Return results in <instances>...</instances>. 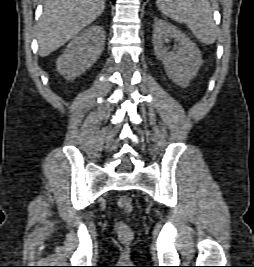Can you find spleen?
Instances as JSON below:
<instances>
[{
    "label": "spleen",
    "mask_w": 254,
    "mask_h": 267,
    "mask_svg": "<svg viewBox=\"0 0 254 267\" xmlns=\"http://www.w3.org/2000/svg\"><path fill=\"white\" fill-rule=\"evenodd\" d=\"M158 9L178 23H185L202 43L216 41L217 28L208 0H157Z\"/></svg>",
    "instance_id": "3e777b00"
}]
</instances>
